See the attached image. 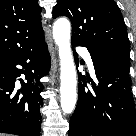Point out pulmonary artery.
<instances>
[{
	"mask_svg": "<svg viewBox=\"0 0 136 136\" xmlns=\"http://www.w3.org/2000/svg\"><path fill=\"white\" fill-rule=\"evenodd\" d=\"M77 51L83 55V57L86 59L88 65H89V67L91 69H93V62H92L91 55L88 52V50L86 48H83V47H78Z\"/></svg>",
	"mask_w": 136,
	"mask_h": 136,
	"instance_id": "e3ab8cb5",
	"label": "pulmonary artery"
}]
</instances>
